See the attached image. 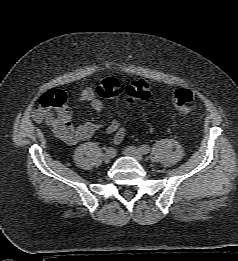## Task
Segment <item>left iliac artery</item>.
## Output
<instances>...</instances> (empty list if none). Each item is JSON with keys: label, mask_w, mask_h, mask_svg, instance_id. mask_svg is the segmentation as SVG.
Returning a JSON list of instances; mask_svg holds the SVG:
<instances>
[{"label": "left iliac artery", "mask_w": 238, "mask_h": 261, "mask_svg": "<svg viewBox=\"0 0 238 261\" xmlns=\"http://www.w3.org/2000/svg\"><path fill=\"white\" fill-rule=\"evenodd\" d=\"M139 150L142 154H147L150 151V147L148 145H141L139 146Z\"/></svg>", "instance_id": "left-iliac-artery-1"}]
</instances>
